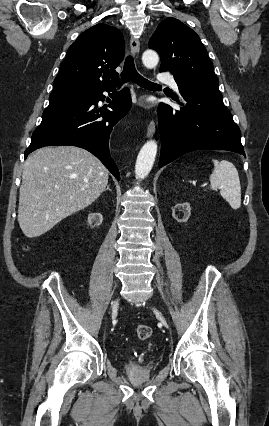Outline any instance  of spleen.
I'll use <instances>...</instances> for the list:
<instances>
[{
    "instance_id": "3e777b00",
    "label": "spleen",
    "mask_w": 269,
    "mask_h": 426,
    "mask_svg": "<svg viewBox=\"0 0 269 426\" xmlns=\"http://www.w3.org/2000/svg\"><path fill=\"white\" fill-rule=\"evenodd\" d=\"M214 170L210 175V188L220 189L221 196L233 209L241 206V185L236 167L227 160H212Z\"/></svg>"
}]
</instances>
